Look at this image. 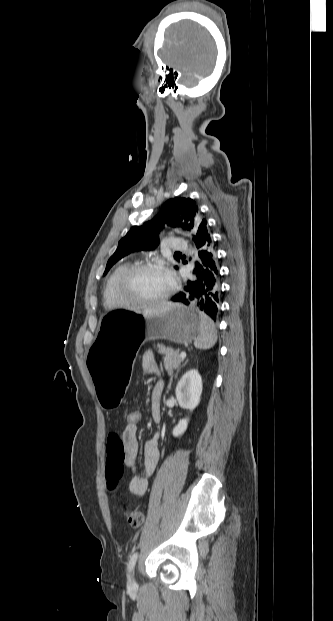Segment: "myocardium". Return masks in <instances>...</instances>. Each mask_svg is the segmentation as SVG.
<instances>
[{"mask_svg": "<svg viewBox=\"0 0 333 621\" xmlns=\"http://www.w3.org/2000/svg\"><path fill=\"white\" fill-rule=\"evenodd\" d=\"M141 271H159L167 275L170 281V286L168 291L161 297L153 300H144L138 299L126 292V285L130 278L138 272ZM175 290V282L172 276L169 274L167 269L161 264L157 262H146V263H138L132 266H129L118 278L116 283V291L117 295L121 301L122 305H140V306H153L159 305L166 302L174 293Z\"/></svg>", "mask_w": 333, "mask_h": 621, "instance_id": "1", "label": "myocardium"}]
</instances>
